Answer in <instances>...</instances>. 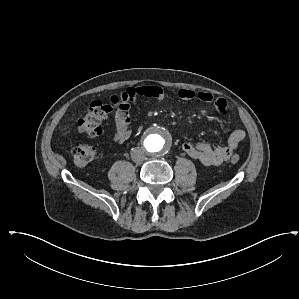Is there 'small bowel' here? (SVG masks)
Segmentation results:
<instances>
[{
    "mask_svg": "<svg viewBox=\"0 0 299 299\" xmlns=\"http://www.w3.org/2000/svg\"><path fill=\"white\" fill-rule=\"evenodd\" d=\"M164 91L159 86L131 87L110 97L115 110L112 117V137L119 144L128 141L132 135L130 124L133 118V103L136 98L143 97L152 100L164 98ZM178 97L184 101L194 98L205 103H213L217 112L223 117H228V104L222 97L214 98L208 92L195 93L188 88H181ZM246 138V132L242 129L233 130L227 141V146H212L209 143H189L182 145L183 151L192 159L205 166H218L227 161L234 150Z\"/></svg>",
    "mask_w": 299,
    "mask_h": 299,
    "instance_id": "small-bowel-1",
    "label": "small bowel"
}]
</instances>
